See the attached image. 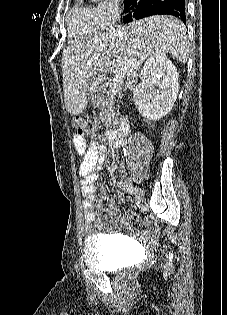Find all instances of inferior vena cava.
<instances>
[{
	"instance_id": "obj_1",
	"label": "inferior vena cava",
	"mask_w": 227,
	"mask_h": 315,
	"mask_svg": "<svg viewBox=\"0 0 227 315\" xmlns=\"http://www.w3.org/2000/svg\"><path fill=\"white\" fill-rule=\"evenodd\" d=\"M119 17H120V11L115 7L112 12V24L110 25L109 31L115 30L114 23L118 20Z\"/></svg>"
}]
</instances>
